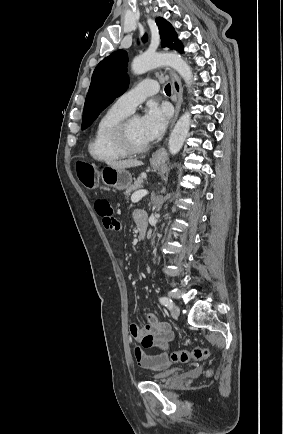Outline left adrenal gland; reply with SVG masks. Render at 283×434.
<instances>
[{"label": "left adrenal gland", "instance_id": "obj_1", "mask_svg": "<svg viewBox=\"0 0 283 434\" xmlns=\"http://www.w3.org/2000/svg\"><path fill=\"white\" fill-rule=\"evenodd\" d=\"M164 191H165V190H164ZM164 191H163V192H164ZM162 204H163V200H162V199H161V200H158L157 203H156V205H155V207L159 209V208H161V205H162Z\"/></svg>", "mask_w": 283, "mask_h": 434}]
</instances>
